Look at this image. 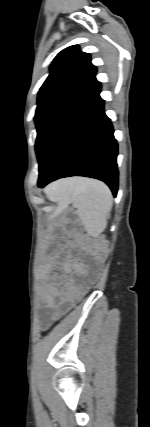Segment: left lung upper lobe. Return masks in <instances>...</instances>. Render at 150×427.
<instances>
[{
    "label": "left lung upper lobe",
    "instance_id": "1",
    "mask_svg": "<svg viewBox=\"0 0 150 427\" xmlns=\"http://www.w3.org/2000/svg\"><path fill=\"white\" fill-rule=\"evenodd\" d=\"M96 67L88 53L77 45L62 50L50 66V74L38 94L35 123L37 129L65 108L95 81Z\"/></svg>",
    "mask_w": 150,
    "mask_h": 427
}]
</instances>
